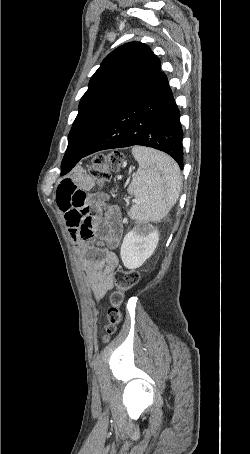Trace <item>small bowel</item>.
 I'll return each instance as SVG.
<instances>
[{
    "label": "small bowel",
    "instance_id": "c3829d8e",
    "mask_svg": "<svg viewBox=\"0 0 250 454\" xmlns=\"http://www.w3.org/2000/svg\"><path fill=\"white\" fill-rule=\"evenodd\" d=\"M93 179L81 170L64 178L56 190L71 239L82 255V265L95 297L103 298L113 287L118 266L115 249L121 242L123 225L119 210L111 207L101 215L104 197L91 194Z\"/></svg>",
    "mask_w": 250,
    "mask_h": 454
}]
</instances>
